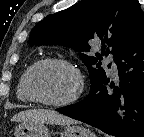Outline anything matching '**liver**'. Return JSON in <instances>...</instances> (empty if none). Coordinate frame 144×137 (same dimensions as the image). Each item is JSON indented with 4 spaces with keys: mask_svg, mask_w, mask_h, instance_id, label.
Segmentation results:
<instances>
[{
    "mask_svg": "<svg viewBox=\"0 0 144 137\" xmlns=\"http://www.w3.org/2000/svg\"><path fill=\"white\" fill-rule=\"evenodd\" d=\"M13 122L22 123H47L56 125H70L75 121L65 115L54 110L48 109H32L21 111L11 118Z\"/></svg>",
    "mask_w": 144,
    "mask_h": 137,
    "instance_id": "obj_1",
    "label": "liver"
}]
</instances>
